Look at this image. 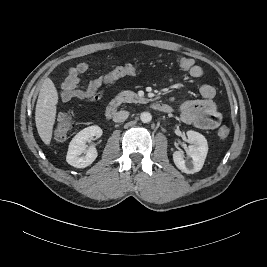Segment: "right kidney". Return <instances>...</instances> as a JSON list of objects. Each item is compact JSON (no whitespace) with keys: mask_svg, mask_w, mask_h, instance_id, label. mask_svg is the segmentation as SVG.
Here are the masks:
<instances>
[{"mask_svg":"<svg viewBox=\"0 0 267 267\" xmlns=\"http://www.w3.org/2000/svg\"><path fill=\"white\" fill-rule=\"evenodd\" d=\"M101 135L102 129L97 125L89 126L77 133L70 142L66 156L67 163L76 168H85L91 165L98 153L95 147L87 149L86 142L94 137L99 138Z\"/></svg>","mask_w":267,"mask_h":267,"instance_id":"right-kidney-1","label":"right kidney"}]
</instances>
